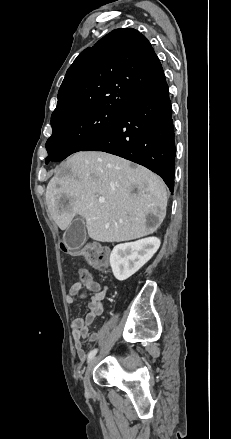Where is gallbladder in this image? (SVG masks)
Segmentation results:
<instances>
[{
	"label": "gallbladder",
	"mask_w": 231,
	"mask_h": 439,
	"mask_svg": "<svg viewBox=\"0 0 231 439\" xmlns=\"http://www.w3.org/2000/svg\"><path fill=\"white\" fill-rule=\"evenodd\" d=\"M86 226L82 218L72 221L64 234V241L69 249L76 250L81 248L86 242Z\"/></svg>",
	"instance_id": "1"
}]
</instances>
